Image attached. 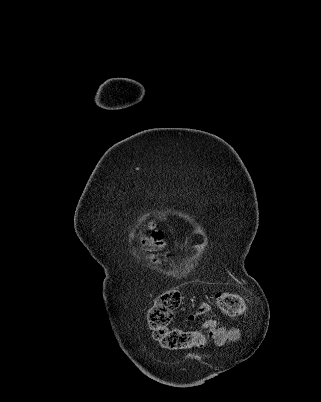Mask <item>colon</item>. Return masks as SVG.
I'll return each instance as SVG.
<instances>
[{
  "label": "colon",
  "instance_id": "1",
  "mask_svg": "<svg viewBox=\"0 0 321 402\" xmlns=\"http://www.w3.org/2000/svg\"><path fill=\"white\" fill-rule=\"evenodd\" d=\"M152 238L156 244H161V233L154 231ZM216 306L230 317H240L246 310L244 299L236 293L221 292L215 296ZM181 304V294L176 289H170L159 295L146 314V320L153 338L165 349L186 350L202 347L206 343L203 333L194 330L171 328L170 323L174 313Z\"/></svg>",
  "mask_w": 321,
  "mask_h": 402
}]
</instances>
